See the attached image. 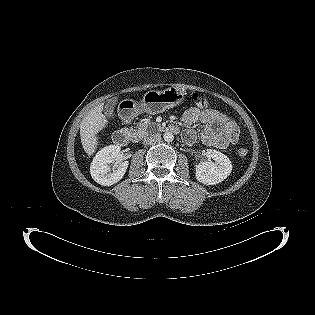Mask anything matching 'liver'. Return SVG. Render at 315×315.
I'll return each mask as SVG.
<instances>
[{"mask_svg":"<svg viewBox=\"0 0 315 315\" xmlns=\"http://www.w3.org/2000/svg\"><path fill=\"white\" fill-rule=\"evenodd\" d=\"M103 109V103L91 109L83 118L80 125L81 143L88 156H91L95 153L96 147L98 145L97 134L108 124V120L102 113Z\"/></svg>","mask_w":315,"mask_h":315,"instance_id":"liver-1","label":"liver"}]
</instances>
